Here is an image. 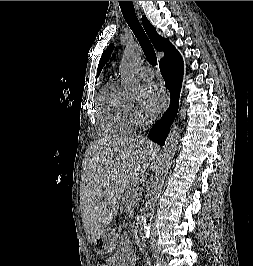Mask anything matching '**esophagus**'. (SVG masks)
Returning <instances> with one entry per match:
<instances>
[{
	"label": "esophagus",
	"mask_w": 253,
	"mask_h": 266,
	"mask_svg": "<svg viewBox=\"0 0 253 266\" xmlns=\"http://www.w3.org/2000/svg\"><path fill=\"white\" fill-rule=\"evenodd\" d=\"M133 2L135 4L136 8L138 9L139 7H138V4L136 3V1H133Z\"/></svg>",
	"instance_id": "obj_1"
}]
</instances>
